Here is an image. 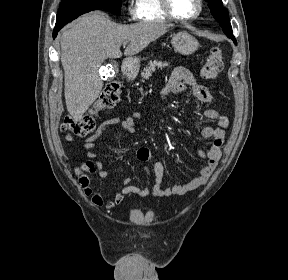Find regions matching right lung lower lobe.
<instances>
[{"instance_id": "1", "label": "right lung lower lobe", "mask_w": 288, "mask_h": 280, "mask_svg": "<svg viewBox=\"0 0 288 280\" xmlns=\"http://www.w3.org/2000/svg\"><path fill=\"white\" fill-rule=\"evenodd\" d=\"M96 9H99L98 7H92V8H85V9H82V10H79V11H74V12H71L59 19H56V25H55V28H54V31H53V38H55L57 36V33L58 31L64 26L66 25L68 22L74 20L75 18H77L78 16L84 14V13H87L89 11H92V10H96Z\"/></svg>"}]
</instances>
